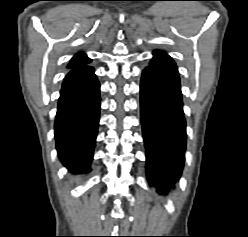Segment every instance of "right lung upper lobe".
<instances>
[{
    "label": "right lung upper lobe",
    "instance_id": "right-lung-upper-lobe-1",
    "mask_svg": "<svg viewBox=\"0 0 248 237\" xmlns=\"http://www.w3.org/2000/svg\"><path fill=\"white\" fill-rule=\"evenodd\" d=\"M91 60L84 53H77L69 63L70 68H78L89 63Z\"/></svg>",
    "mask_w": 248,
    "mask_h": 237
}]
</instances>
